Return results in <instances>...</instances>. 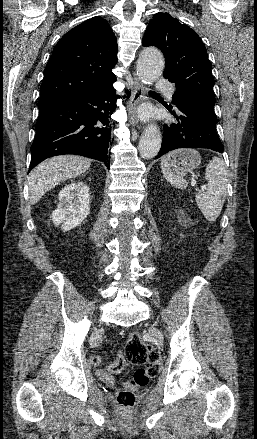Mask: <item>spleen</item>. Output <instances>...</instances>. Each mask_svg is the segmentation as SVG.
<instances>
[{
    "label": "spleen",
    "instance_id": "spleen-1",
    "mask_svg": "<svg viewBox=\"0 0 257 439\" xmlns=\"http://www.w3.org/2000/svg\"><path fill=\"white\" fill-rule=\"evenodd\" d=\"M170 154L161 160V169L164 178L174 187L185 189L188 183L176 175L169 167ZM205 180L208 182L206 192L198 191L195 200L198 208L208 222H214L220 215L227 194V171L224 162L213 157L205 171Z\"/></svg>",
    "mask_w": 257,
    "mask_h": 439
}]
</instances>
